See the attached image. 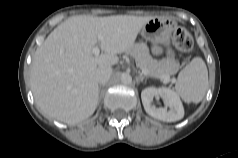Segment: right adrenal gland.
<instances>
[{
	"label": "right adrenal gland",
	"instance_id": "right-adrenal-gland-1",
	"mask_svg": "<svg viewBox=\"0 0 238 158\" xmlns=\"http://www.w3.org/2000/svg\"><path fill=\"white\" fill-rule=\"evenodd\" d=\"M104 86H105V85H100V86H99L100 98H101L102 88H103Z\"/></svg>",
	"mask_w": 238,
	"mask_h": 158
}]
</instances>
